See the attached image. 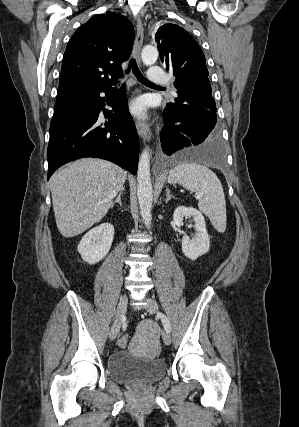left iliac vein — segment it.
I'll use <instances>...</instances> for the list:
<instances>
[{
    "mask_svg": "<svg viewBox=\"0 0 299 427\" xmlns=\"http://www.w3.org/2000/svg\"><path fill=\"white\" fill-rule=\"evenodd\" d=\"M145 301H146V309H147V311L149 313H151V314L158 313V309H159L158 308V304L156 303V301L154 299H152L150 297H147L145 299ZM162 339H163V342L166 345H170L171 344V336H170V334H169L168 331L164 330L162 332Z\"/></svg>",
    "mask_w": 299,
    "mask_h": 427,
    "instance_id": "1",
    "label": "left iliac vein"
}]
</instances>
